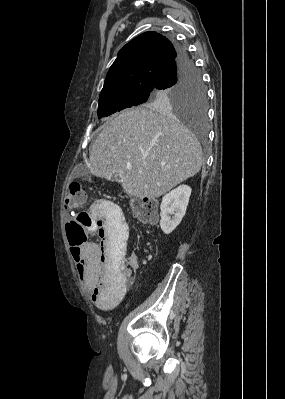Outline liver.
I'll list each match as a JSON object with an SVG mask.
<instances>
[{
  "label": "liver",
  "instance_id": "1",
  "mask_svg": "<svg viewBox=\"0 0 285 399\" xmlns=\"http://www.w3.org/2000/svg\"><path fill=\"white\" fill-rule=\"evenodd\" d=\"M196 137L169 112L136 108L104 124L89 153L90 172L136 198H158L196 175L202 166Z\"/></svg>",
  "mask_w": 285,
  "mask_h": 399
}]
</instances>
